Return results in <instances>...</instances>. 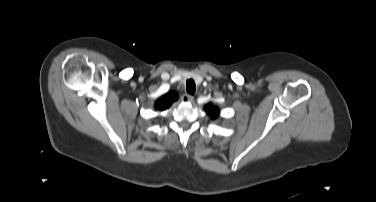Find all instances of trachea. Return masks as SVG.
I'll use <instances>...</instances> for the list:
<instances>
[{"label":"trachea","mask_w":376,"mask_h":202,"mask_svg":"<svg viewBox=\"0 0 376 202\" xmlns=\"http://www.w3.org/2000/svg\"><path fill=\"white\" fill-rule=\"evenodd\" d=\"M186 90H187V93L193 95L196 91V85H195V82L194 80L192 79H188L187 82H186Z\"/></svg>","instance_id":"trachea-1"}]
</instances>
